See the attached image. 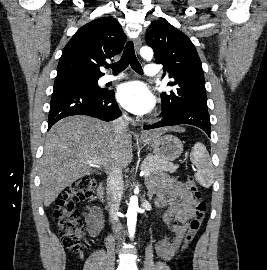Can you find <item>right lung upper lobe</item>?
<instances>
[{"mask_svg":"<svg viewBox=\"0 0 267 270\" xmlns=\"http://www.w3.org/2000/svg\"><path fill=\"white\" fill-rule=\"evenodd\" d=\"M126 39L119 22L112 17L98 18L87 23L63 49L56 77L67 74L103 76L100 67L106 59L122 51Z\"/></svg>","mask_w":267,"mask_h":270,"instance_id":"obj_1","label":"right lung upper lobe"}]
</instances>
